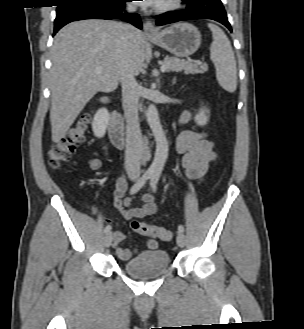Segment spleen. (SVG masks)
<instances>
[{"label":"spleen","instance_id":"spleen-1","mask_svg":"<svg viewBox=\"0 0 304 329\" xmlns=\"http://www.w3.org/2000/svg\"><path fill=\"white\" fill-rule=\"evenodd\" d=\"M213 42L210 47V58L216 68V78L220 86L233 93L237 88V69L231 43L223 30L209 23Z\"/></svg>","mask_w":304,"mask_h":329}]
</instances>
